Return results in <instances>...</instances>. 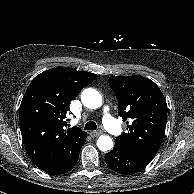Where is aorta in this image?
<instances>
[{"mask_svg":"<svg viewBox=\"0 0 194 194\" xmlns=\"http://www.w3.org/2000/svg\"><path fill=\"white\" fill-rule=\"evenodd\" d=\"M81 101L87 108L96 109L102 105V96L97 90L87 88L81 94ZM97 146L105 152L112 149L113 141L110 136L101 135L97 140Z\"/></svg>","mask_w":194,"mask_h":194,"instance_id":"762f6f07","label":"aorta"}]
</instances>
